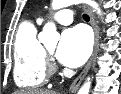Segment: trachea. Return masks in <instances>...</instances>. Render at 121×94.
I'll use <instances>...</instances> for the list:
<instances>
[{
  "label": "trachea",
  "mask_w": 121,
  "mask_h": 94,
  "mask_svg": "<svg viewBox=\"0 0 121 94\" xmlns=\"http://www.w3.org/2000/svg\"><path fill=\"white\" fill-rule=\"evenodd\" d=\"M83 19H84L85 21H89V16H88L87 14H83Z\"/></svg>",
  "instance_id": "3493384b"
}]
</instances>
